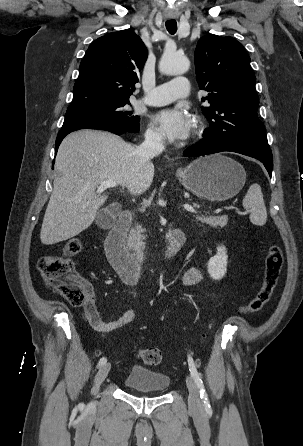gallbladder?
Listing matches in <instances>:
<instances>
[{
    "label": "gallbladder",
    "mask_w": 303,
    "mask_h": 446,
    "mask_svg": "<svg viewBox=\"0 0 303 446\" xmlns=\"http://www.w3.org/2000/svg\"><path fill=\"white\" fill-rule=\"evenodd\" d=\"M108 214L106 212V210L101 211L100 213L97 214L96 216V221L97 224L100 226H106V218H107ZM111 223L113 222V219H110Z\"/></svg>",
    "instance_id": "gallbladder-1"
}]
</instances>
